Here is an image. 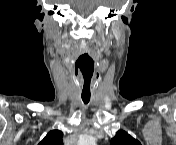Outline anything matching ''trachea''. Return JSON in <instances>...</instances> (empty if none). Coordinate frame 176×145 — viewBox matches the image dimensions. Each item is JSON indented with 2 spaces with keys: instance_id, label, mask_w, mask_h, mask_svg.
<instances>
[{
  "instance_id": "obj_1",
  "label": "trachea",
  "mask_w": 176,
  "mask_h": 145,
  "mask_svg": "<svg viewBox=\"0 0 176 145\" xmlns=\"http://www.w3.org/2000/svg\"><path fill=\"white\" fill-rule=\"evenodd\" d=\"M81 97L85 104H87L90 101V95H82Z\"/></svg>"
}]
</instances>
